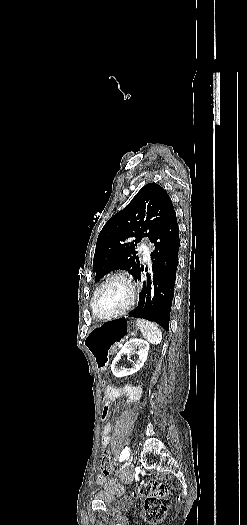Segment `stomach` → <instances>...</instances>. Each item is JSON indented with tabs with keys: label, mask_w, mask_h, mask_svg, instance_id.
Here are the masks:
<instances>
[{
	"label": "stomach",
	"mask_w": 247,
	"mask_h": 525,
	"mask_svg": "<svg viewBox=\"0 0 247 525\" xmlns=\"http://www.w3.org/2000/svg\"><path fill=\"white\" fill-rule=\"evenodd\" d=\"M137 330L138 325L126 317L94 326L85 340V346L93 356L97 369L105 370L110 348L122 339L134 335Z\"/></svg>",
	"instance_id": "1"
}]
</instances>
